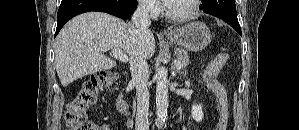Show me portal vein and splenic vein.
Here are the masks:
<instances>
[{
  "label": "portal vein and splenic vein",
  "mask_w": 299,
  "mask_h": 130,
  "mask_svg": "<svg viewBox=\"0 0 299 130\" xmlns=\"http://www.w3.org/2000/svg\"><path fill=\"white\" fill-rule=\"evenodd\" d=\"M112 57L122 61L127 62L129 60L128 56L121 49H114L111 51ZM176 67L181 69V65L179 62H176Z\"/></svg>",
  "instance_id": "portal-vein-and-splenic-vein-1"
}]
</instances>
